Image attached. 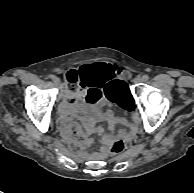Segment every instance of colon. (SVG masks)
I'll list each match as a JSON object with an SVG mask.
<instances>
[{"label":"colon","instance_id":"5ec220e1","mask_svg":"<svg viewBox=\"0 0 194 193\" xmlns=\"http://www.w3.org/2000/svg\"><path fill=\"white\" fill-rule=\"evenodd\" d=\"M64 79L67 84V88L70 92H75L80 87V74L75 70L68 71ZM125 85L122 81H114L107 85L106 87V95L110 100H115L114 92L124 89ZM126 144L123 139H116L114 140L110 147H109V153L110 154H120L125 150Z\"/></svg>","mask_w":194,"mask_h":193}]
</instances>
